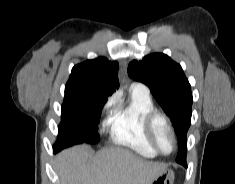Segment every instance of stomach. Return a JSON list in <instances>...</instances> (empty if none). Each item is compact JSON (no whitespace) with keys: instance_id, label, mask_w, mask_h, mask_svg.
<instances>
[{"instance_id":"0dacf381","label":"stomach","mask_w":235,"mask_h":184,"mask_svg":"<svg viewBox=\"0 0 235 184\" xmlns=\"http://www.w3.org/2000/svg\"><path fill=\"white\" fill-rule=\"evenodd\" d=\"M175 174L173 170H163V172H158V176L152 180L151 184H174Z\"/></svg>"}]
</instances>
